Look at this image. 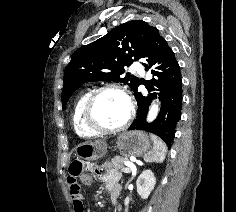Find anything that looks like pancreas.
<instances>
[{
    "mask_svg": "<svg viewBox=\"0 0 236 212\" xmlns=\"http://www.w3.org/2000/svg\"><path fill=\"white\" fill-rule=\"evenodd\" d=\"M127 160L128 158L125 156H116L112 159L110 168L123 171V169L125 168L124 162H126Z\"/></svg>",
    "mask_w": 236,
    "mask_h": 212,
    "instance_id": "pancreas-1",
    "label": "pancreas"
}]
</instances>
